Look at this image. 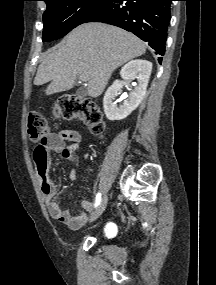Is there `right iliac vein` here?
Returning a JSON list of instances; mask_svg holds the SVG:
<instances>
[{"instance_id":"right-iliac-vein-1","label":"right iliac vein","mask_w":216,"mask_h":285,"mask_svg":"<svg viewBox=\"0 0 216 285\" xmlns=\"http://www.w3.org/2000/svg\"><path fill=\"white\" fill-rule=\"evenodd\" d=\"M107 201H108V197L107 195H105L102 200L100 201L98 207L96 208V210L93 212V214L90 217V222L95 221L97 218H99L101 216V214L103 213V211L105 210L106 206H107Z\"/></svg>"}]
</instances>
